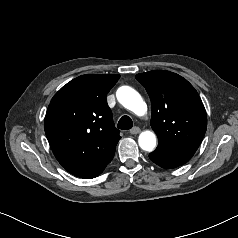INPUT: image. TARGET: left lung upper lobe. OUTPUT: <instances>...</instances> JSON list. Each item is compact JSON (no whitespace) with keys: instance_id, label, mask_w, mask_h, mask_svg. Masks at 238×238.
<instances>
[{"instance_id":"obj_1","label":"left lung upper lobe","mask_w":238,"mask_h":238,"mask_svg":"<svg viewBox=\"0 0 238 238\" xmlns=\"http://www.w3.org/2000/svg\"><path fill=\"white\" fill-rule=\"evenodd\" d=\"M152 106L151 126L160 146L194 154L207 129V115L195 88L180 75L155 70L136 75Z\"/></svg>"}]
</instances>
